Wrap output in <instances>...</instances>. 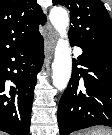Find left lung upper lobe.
I'll use <instances>...</instances> for the list:
<instances>
[{
	"mask_svg": "<svg viewBox=\"0 0 112 135\" xmlns=\"http://www.w3.org/2000/svg\"><path fill=\"white\" fill-rule=\"evenodd\" d=\"M70 11V42L112 52V21L100 0H53Z\"/></svg>",
	"mask_w": 112,
	"mask_h": 135,
	"instance_id": "5c2ea615",
	"label": "left lung upper lobe"
}]
</instances>
